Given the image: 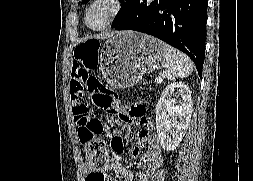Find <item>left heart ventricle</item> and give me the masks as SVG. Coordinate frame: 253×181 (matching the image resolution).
Here are the masks:
<instances>
[{"instance_id":"obj_1","label":"left heart ventricle","mask_w":253,"mask_h":181,"mask_svg":"<svg viewBox=\"0 0 253 181\" xmlns=\"http://www.w3.org/2000/svg\"><path fill=\"white\" fill-rule=\"evenodd\" d=\"M108 10L109 7L107 4L95 5L89 13L88 23L93 27L100 26L104 22L108 14Z\"/></svg>"}]
</instances>
